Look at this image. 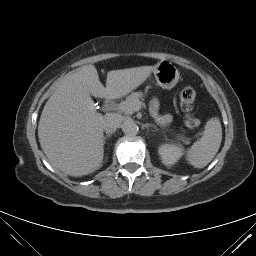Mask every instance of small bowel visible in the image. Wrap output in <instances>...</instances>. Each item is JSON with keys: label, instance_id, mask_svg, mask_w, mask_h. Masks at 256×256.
I'll return each instance as SVG.
<instances>
[{"label": "small bowel", "instance_id": "1", "mask_svg": "<svg viewBox=\"0 0 256 256\" xmlns=\"http://www.w3.org/2000/svg\"><path fill=\"white\" fill-rule=\"evenodd\" d=\"M153 116H154L155 120L160 124L168 123L171 119V116L168 114L162 115V114L158 113L156 104L153 107Z\"/></svg>", "mask_w": 256, "mask_h": 256}]
</instances>
